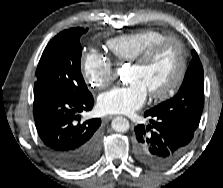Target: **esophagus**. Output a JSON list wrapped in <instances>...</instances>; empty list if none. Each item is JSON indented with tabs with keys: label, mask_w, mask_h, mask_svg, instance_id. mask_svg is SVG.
Masks as SVG:
<instances>
[{
	"label": "esophagus",
	"mask_w": 223,
	"mask_h": 188,
	"mask_svg": "<svg viewBox=\"0 0 223 188\" xmlns=\"http://www.w3.org/2000/svg\"><path fill=\"white\" fill-rule=\"evenodd\" d=\"M114 116H105V117H103V121L104 122H108V121H110L112 118H113Z\"/></svg>",
	"instance_id": "34e87169"
}]
</instances>
